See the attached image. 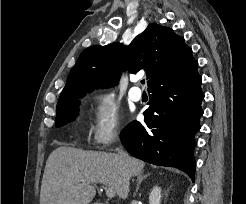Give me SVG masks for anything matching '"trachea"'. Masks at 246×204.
<instances>
[{
	"mask_svg": "<svg viewBox=\"0 0 246 204\" xmlns=\"http://www.w3.org/2000/svg\"><path fill=\"white\" fill-rule=\"evenodd\" d=\"M141 83H142V84H145V80H141Z\"/></svg>",
	"mask_w": 246,
	"mask_h": 204,
	"instance_id": "obj_1",
	"label": "trachea"
}]
</instances>
